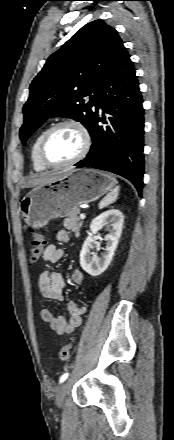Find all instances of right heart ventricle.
<instances>
[{"instance_id":"obj_1","label":"right heart ventricle","mask_w":174,"mask_h":440,"mask_svg":"<svg viewBox=\"0 0 174 440\" xmlns=\"http://www.w3.org/2000/svg\"><path fill=\"white\" fill-rule=\"evenodd\" d=\"M48 129V127H44L42 128L34 137L31 146H30V159H31V163L32 166L34 168L35 171L37 172H43L45 170L48 169V167H46L40 160L39 158V146H40V142L41 139L44 135V133L46 132V130Z\"/></svg>"}]
</instances>
